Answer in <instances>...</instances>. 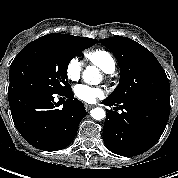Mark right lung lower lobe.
Masks as SVG:
<instances>
[{"label": "right lung lower lobe", "instance_id": "right-lung-lower-lobe-1", "mask_svg": "<svg viewBox=\"0 0 178 178\" xmlns=\"http://www.w3.org/2000/svg\"><path fill=\"white\" fill-rule=\"evenodd\" d=\"M54 94L68 98L62 109L58 108L62 103L54 101ZM8 99L19 133L29 144L44 151L67 147L87 114L71 89L61 93L13 91L8 93Z\"/></svg>", "mask_w": 178, "mask_h": 178}]
</instances>
